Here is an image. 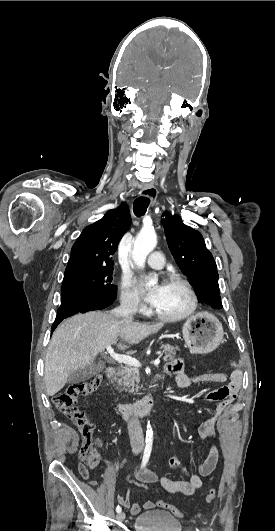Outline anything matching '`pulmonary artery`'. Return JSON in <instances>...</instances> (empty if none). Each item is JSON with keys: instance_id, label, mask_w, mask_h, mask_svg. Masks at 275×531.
<instances>
[{"instance_id": "e3ab8cb5", "label": "pulmonary artery", "mask_w": 275, "mask_h": 531, "mask_svg": "<svg viewBox=\"0 0 275 531\" xmlns=\"http://www.w3.org/2000/svg\"><path fill=\"white\" fill-rule=\"evenodd\" d=\"M149 264L151 265V269L154 271V269H160L164 263V256L162 254H159L158 252H155L153 256H151V259L148 260Z\"/></svg>"}]
</instances>
